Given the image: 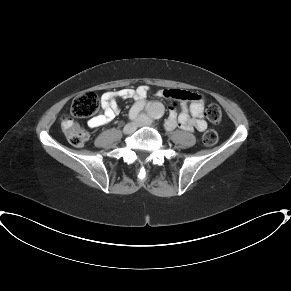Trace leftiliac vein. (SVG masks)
<instances>
[{"mask_svg":"<svg viewBox=\"0 0 291 291\" xmlns=\"http://www.w3.org/2000/svg\"><path fill=\"white\" fill-rule=\"evenodd\" d=\"M138 125L140 127H143V126H151L152 125V120L148 116H146V115H141L138 118Z\"/></svg>","mask_w":291,"mask_h":291,"instance_id":"4c4485c4","label":"left iliac vein"}]
</instances>
